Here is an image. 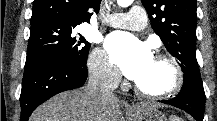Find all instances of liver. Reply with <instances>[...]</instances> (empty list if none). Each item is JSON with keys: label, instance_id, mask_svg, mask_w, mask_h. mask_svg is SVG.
I'll use <instances>...</instances> for the list:
<instances>
[{"label": "liver", "instance_id": "liver-1", "mask_svg": "<svg viewBox=\"0 0 217 121\" xmlns=\"http://www.w3.org/2000/svg\"><path fill=\"white\" fill-rule=\"evenodd\" d=\"M121 107H125L126 117ZM146 107L154 108L146 103L132 107L117 98L96 102L86 89H76L62 92L40 105L29 121H140V113Z\"/></svg>", "mask_w": 217, "mask_h": 121}]
</instances>
